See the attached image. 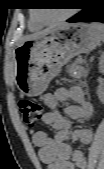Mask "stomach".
<instances>
[{
    "label": "stomach",
    "instance_id": "obj_1",
    "mask_svg": "<svg viewBox=\"0 0 104 169\" xmlns=\"http://www.w3.org/2000/svg\"><path fill=\"white\" fill-rule=\"evenodd\" d=\"M103 40L94 24L61 25L25 40L15 51V84L21 94L37 96L71 58L93 50Z\"/></svg>",
    "mask_w": 104,
    "mask_h": 169
}]
</instances>
